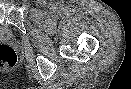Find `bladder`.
Instances as JSON below:
<instances>
[{
  "label": "bladder",
  "instance_id": "31cf9c89",
  "mask_svg": "<svg viewBox=\"0 0 131 89\" xmlns=\"http://www.w3.org/2000/svg\"><path fill=\"white\" fill-rule=\"evenodd\" d=\"M7 34H8V29L5 26L0 25V36H4Z\"/></svg>",
  "mask_w": 131,
  "mask_h": 89
}]
</instances>
